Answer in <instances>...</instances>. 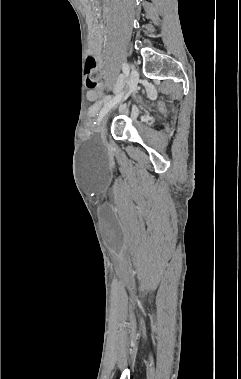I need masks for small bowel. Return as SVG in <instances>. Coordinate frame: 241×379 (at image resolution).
I'll return each instance as SVG.
<instances>
[{"label":"small bowel","instance_id":"1","mask_svg":"<svg viewBox=\"0 0 241 379\" xmlns=\"http://www.w3.org/2000/svg\"><path fill=\"white\" fill-rule=\"evenodd\" d=\"M101 49H102V39H101V36L99 35L97 29L94 27L92 29L91 52L96 57V59L98 61H100ZM87 92H88V94H87L88 99L91 101H95L99 95V92L96 91L95 86H88ZM96 110H97V108L94 109L92 111V113L95 114Z\"/></svg>","mask_w":241,"mask_h":379}]
</instances>
